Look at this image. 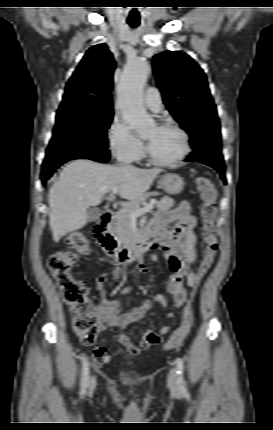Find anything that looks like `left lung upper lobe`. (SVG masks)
Instances as JSON below:
<instances>
[{
	"label": "left lung upper lobe",
	"instance_id": "obj_1",
	"mask_svg": "<svg viewBox=\"0 0 273 430\" xmlns=\"http://www.w3.org/2000/svg\"><path fill=\"white\" fill-rule=\"evenodd\" d=\"M152 64L164 103L190 135V145L195 148L205 139L221 141L216 106L198 64L179 51L162 52Z\"/></svg>",
	"mask_w": 273,
	"mask_h": 430
}]
</instances>
